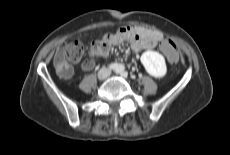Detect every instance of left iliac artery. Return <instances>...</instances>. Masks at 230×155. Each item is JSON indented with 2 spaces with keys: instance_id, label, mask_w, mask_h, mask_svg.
Wrapping results in <instances>:
<instances>
[{
  "instance_id": "left-iliac-artery-1",
  "label": "left iliac artery",
  "mask_w": 230,
  "mask_h": 155,
  "mask_svg": "<svg viewBox=\"0 0 230 155\" xmlns=\"http://www.w3.org/2000/svg\"><path fill=\"white\" fill-rule=\"evenodd\" d=\"M116 72H117V73H120V74H124V73H125V71H124V69H123L122 66H119V67L116 69Z\"/></svg>"
}]
</instances>
